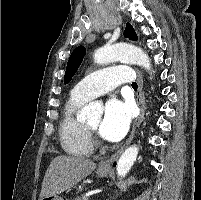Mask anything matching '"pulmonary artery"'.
I'll return each instance as SVG.
<instances>
[{
	"label": "pulmonary artery",
	"mask_w": 201,
	"mask_h": 200,
	"mask_svg": "<svg viewBox=\"0 0 201 200\" xmlns=\"http://www.w3.org/2000/svg\"><path fill=\"white\" fill-rule=\"evenodd\" d=\"M134 79L135 76L128 66L109 67L83 78L72 89V94L91 100L111 91L121 83H131Z\"/></svg>",
	"instance_id": "e3ab8cb5"
}]
</instances>
